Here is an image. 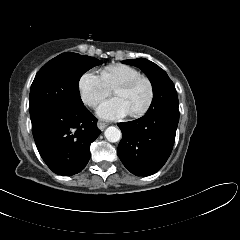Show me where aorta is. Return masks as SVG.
I'll return each instance as SVG.
<instances>
[{
	"mask_svg": "<svg viewBox=\"0 0 240 240\" xmlns=\"http://www.w3.org/2000/svg\"><path fill=\"white\" fill-rule=\"evenodd\" d=\"M104 135H105L106 139L112 143L118 142L122 136L120 129H118L115 126L108 127L105 130Z\"/></svg>",
	"mask_w": 240,
	"mask_h": 240,
	"instance_id": "1",
	"label": "aorta"
}]
</instances>
